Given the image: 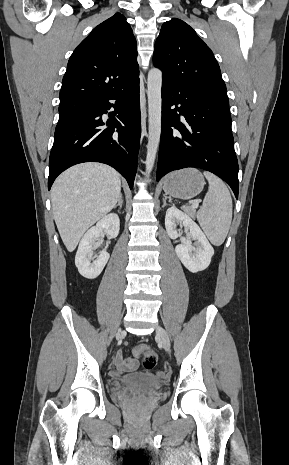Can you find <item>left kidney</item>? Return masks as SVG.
<instances>
[{"instance_id": "left-kidney-1", "label": "left kidney", "mask_w": 289, "mask_h": 465, "mask_svg": "<svg viewBox=\"0 0 289 465\" xmlns=\"http://www.w3.org/2000/svg\"><path fill=\"white\" fill-rule=\"evenodd\" d=\"M184 227L187 237H181V244L177 245L175 252L182 264L192 273L205 270L214 254V249L202 232L200 227L186 213L175 206L167 209L165 228L170 238L175 239L181 235L177 226ZM194 241V244H192Z\"/></svg>"}]
</instances>
